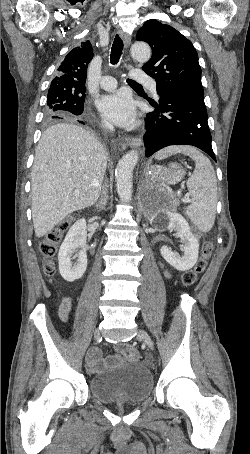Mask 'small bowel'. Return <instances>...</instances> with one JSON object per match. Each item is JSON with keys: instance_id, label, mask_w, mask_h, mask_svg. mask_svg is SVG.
I'll return each mask as SVG.
<instances>
[{"instance_id": "c3829d8e", "label": "small bowel", "mask_w": 250, "mask_h": 454, "mask_svg": "<svg viewBox=\"0 0 250 454\" xmlns=\"http://www.w3.org/2000/svg\"><path fill=\"white\" fill-rule=\"evenodd\" d=\"M71 306V299L69 297L63 298L59 306L58 315L60 320L64 323L69 321ZM111 361V359H103L102 353L99 349H92L87 355V368L90 372H97L111 363Z\"/></svg>"}]
</instances>
